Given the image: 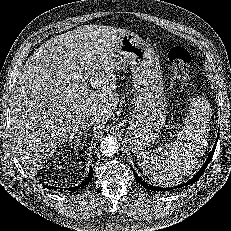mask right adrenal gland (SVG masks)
I'll return each mask as SVG.
<instances>
[{"label": "right adrenal gland", "instance_id": "1", "mask_svg": "<svg viewBox=\"0 0 231 231\" xmlns=\"http://www.w3.org/2000/svg\"><path fill=\"white\" fill-rule=\"evenodd\" d=\"M85 133H86V129L80 130V131L78 132L77 136L74 137V138L76 139L77 145L80 144V138H81L83 135H85Z\"/></svg>", "mask_w": 231, "mask_h": 231}]
</instances>
